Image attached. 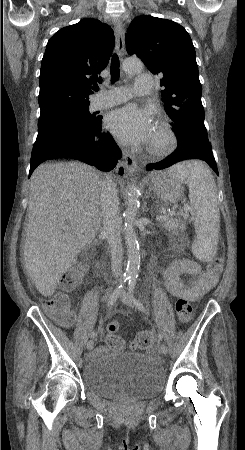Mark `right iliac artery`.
<instances>
[{"label": "right iliac artery", "mask_w": 245, "mask_h": 450, "mask_svg": "<svg viewBox=\"0 0 245 450\" xmlns=\"http://www.w3.org/2000/svg\"><path fill=\"white\" fill-rule=\"evenodd\" d=\"M130 279V276L128 275H124L119 283V285L116 287V289L113 291V293L110 295L109 299H108V303L107 305H113L116 300L118 299L122 288L124 287V284L126 283V281H128ZM95 336V332H92L91 334V338H93Z\"/></svg>", "instance_id": "1"}]
</instances>
